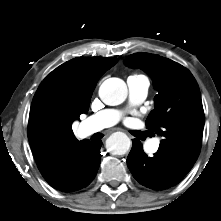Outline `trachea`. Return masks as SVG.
Listing matches in <instances>:
<instances>
[{
    "mask_svg": "<svg viewBox=\"0 0 221 221\" xmlns=\"http://www.w3.org/2000/svg\"><path fill=\"white\" fill-rule=\"evenodd\" d=\"M93 138H94V140L100 139V138H102V135L99 133H96L95 135H93Z\"/></svg>",
    "mask_w": 221,
    "mask_h": 221,
    "instance_id": "1",
    "label": "trachea"
}]
</instances>
